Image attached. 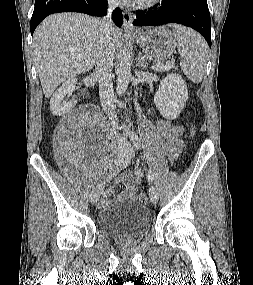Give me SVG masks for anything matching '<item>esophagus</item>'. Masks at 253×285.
Instances as JSON below:
<instances>
[{
    "label": "esophagus",
    "instance_id": "obj_1",
    "mask_svg": "<svg viewBox=\"0 0 253 285\" xmlns=\"http://www.w3.org/2000/svg\"><path fill=\"white\" fill-rule=\"evenodd\" d=\"M123 28L125 31H132L133 27V15L131 12L125 10L123 12Z\"/></svg>",
    "mask_w": 253,
    "mask_h": 285
}]
</instances>
